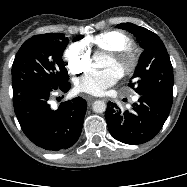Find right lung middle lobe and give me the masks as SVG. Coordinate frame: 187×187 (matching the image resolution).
Segmentation results:
<instances>
[{
    "mask_svg": "<svg viewBox=\"0 0 187 187\" xmlns=\"http://www.w3.org/2000/svg\"><path fill=\"white\" fill-rule=\"evenodd\" d=\"M82 38L78 36L73 41ZM68 42L61 33L35 35L26 40L12 65L13 95L27 87L61 86L67 82L62 55Z\"/></svg>",
    "mask_w": 187,
    "mask_h": 187,
    "instance_id": "1",
    "label": "right lung middle lobe"
}]
</instances>
